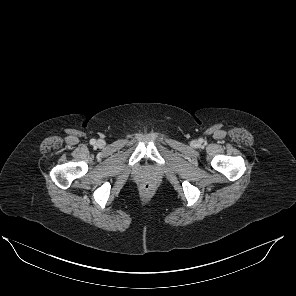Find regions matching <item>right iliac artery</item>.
I'll return each instance as SVG.
<instances>
[{
	"label": "right iliac artery",
	"mask_w": 296,
	"mask_h": 296,
	"mask_svg": "<svg viewBox=\"0 0 296 296\" xmlns=\"http://www.w3.org/2000/svg\"><path fill=\"white\" fill-rule=\"evenodd\" d=\"M91 143H92V144H94V143H95V140H94V139H92V140H91Z\"/></svg>",
	"instance_id": "1"
}]
</instances>
